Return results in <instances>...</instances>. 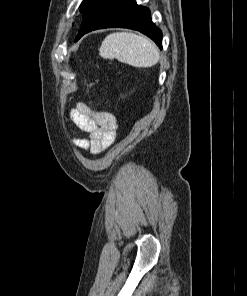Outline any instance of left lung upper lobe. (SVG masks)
<instances>
[{
    "instance_id": "1",
    "label": "left lung upper lobe",
    "mask_w": 247,
    "mask_h": 296,
    "mask_svg": "<svg viewBox=\"0 0 247 296\" xmlns=\"http://www.w3.org/2000/svg\"><path fill=\"white\" fill-rule=\"evenodd\" d=\"M98 1L99 0H83V2L80 5V13L84 15Z\"/></svg>"
}]
</instances>
